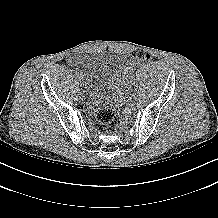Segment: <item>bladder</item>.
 I'll use <instances>...</instances> for the list:
<instances>
[{
  "label": "bladder",
  "mask_w": 218,
  "mask_h": 218,
  "mask_svg": "<svg viewBox=\"0 0 218 218\" xmlns=\"http://www.w3.org/2000/svg\"><path fill=\"white\" fill-rule=\"evenodd\" d=\"M78 64L83 68L85 93L93 107L109 106L114 88L126 74L123 60L113 53L81 55Z\"/></svg>",
  "instance_id": "31cf9c89"
}]
</instances>
